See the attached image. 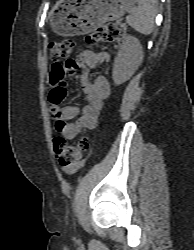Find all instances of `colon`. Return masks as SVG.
Masks as SVG:
<instances>
[{"label": "colon", "mask_w": 194, "mask_h": 250, "mask_svg": "<svg viewBox=\"0 0 194 250\" xmlns=\"http://www.w3.org/2000/svg\"><path fill=\"white\" fill-rule=\"evenodd\" d=\"M124 38V31L112 23L98 26L87 40L91 44L97 43H114L118 44ZM76 45L72 40H60L53 42L50 46L51 57L55 60L68 58L75 50ZM63 75H55L51 73V82L54 88L50 94V100L54 104H60L66 98L65 87H59L62 82ZM87 139L80 138L76 144H68L62 135H57L54 139V151L56 158L62 169L69 168L81 158L82 152L87 148Z\"/></svg>", "instance_id": "5ec220e1"}]
</instances>
